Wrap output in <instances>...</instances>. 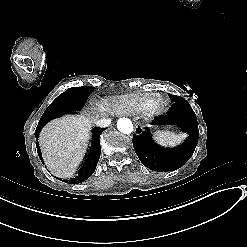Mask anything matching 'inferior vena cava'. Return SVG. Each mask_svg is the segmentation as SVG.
Returning <instances> with one entry per match:
<instances>
[{"instance_id": "602c4592", "label": "inferior vena cava", "mask_w": 247, "mask_h": 247, "mask_svg": "<svg viewBox=\"0 0 247 247\" xmlns=\"http://www.w3.org/2000/svg\"><path fill=\"white\" fill-rule=\"evenodd\" d=\"M111 119L110 118H102V119H99L95 122V125L97 127H101V128H105V127H108L110 124H111Z\"/></svg>"}]
</instances>
